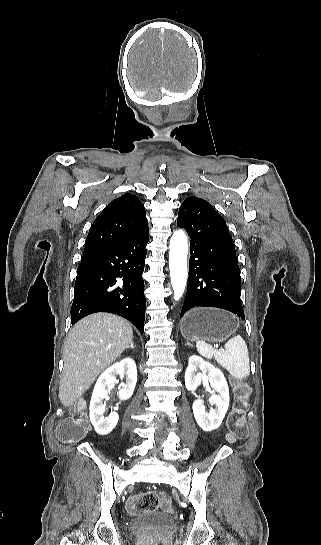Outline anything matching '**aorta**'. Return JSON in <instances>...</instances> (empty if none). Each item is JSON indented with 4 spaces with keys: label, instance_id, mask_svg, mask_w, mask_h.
Segmentation results:
<instances>
[{
    "label": "aorta",
    "instance_id": "aorta-1",
    "mask_svg": "<svg viewBox=\"0 0 321 545\" xmlns=\"http://www.w3.org/2000/svg\"><path fill=\"white\" fill-rule=\"evenodd\" d=\"M169 249L171 285L174 291V299L178 301L184 293L188 277V242L183 230H177L173 233Z\"/></svg>",
    "mask_w": 321,
    "mask_h": 545
}]
</instances>
